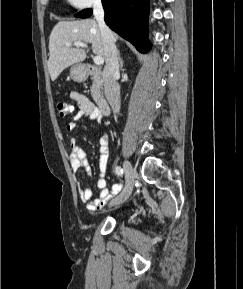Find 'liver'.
Wrapping results in <instances>:
<instances>
[{"label": "liver", "instance_id": "liver-1", "mask_svg": "<svg viewBox=\"0 0 243 289\" xmlns=\"http://www.w3.org/2000/svg\"><path fill=\"white\" fill-rule=\"evenodd\" d=\"M113 37L117 41L118 36L114 34ZM77 41L90 43L93 53L105 58L99 25L94 19L60 21L49 38L48 70L52 81L67 67L85 60L86 52L83 48L66 46L67 43Z\"/></svg>", "mask_w": 243, "mask_h": 289}]
</instances>
